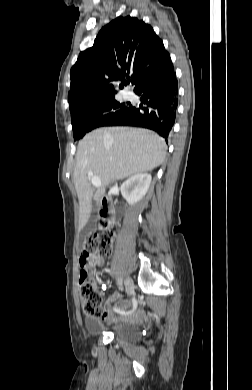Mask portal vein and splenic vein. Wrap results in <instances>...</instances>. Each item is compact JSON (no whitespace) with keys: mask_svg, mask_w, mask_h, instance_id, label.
<instances>
[{"mask_svg":"<svg viewBox=\"0 0 252 390\" xmlns=\"http://www.w3.org/2000/svg\"><path fill=\"white\" fill-rule=\"evenodd\" d=\"M88 177H90L91 179V183L94 187H100L101 186V180L99 177L97 176H93V173L92 172H89L88 173Z\"/></svg>","mask_w":252,"mask_h":390,"instance_id":"18ae733b","label":"portal vein and splenic vein"}]
</instances>
